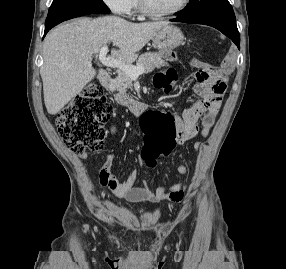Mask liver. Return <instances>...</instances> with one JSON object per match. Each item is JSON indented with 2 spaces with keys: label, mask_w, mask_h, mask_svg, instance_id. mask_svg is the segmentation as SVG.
I'll use <instances>...</instances> for the list:
<instances>
[{
  "label": "liver",
  "mask_w": 286,
  "mask_h": 269,
  "mask_svg": "<svg viewBox=\"0 0 286 269\" xmlns=\"http://www.w3.org/2000/svg\"><path fill=\"white\" fill-rule=\"evenodd\" d=\"M168 22L131 23L108 16L78 18L52 29L43 45L44 102L49 114L58 113L96 75L92 55L112 42V58L131 64L140 51Z\"/></svg>",
  "instance_id": "1"
}]
</instances>
